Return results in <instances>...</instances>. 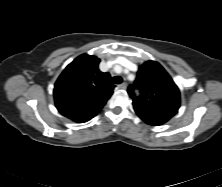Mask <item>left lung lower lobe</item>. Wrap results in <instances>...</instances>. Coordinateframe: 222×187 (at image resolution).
<instances>
[{"label": "left lung lower lobe", "mask_w": 222, "mask_h": 187, "mask_svg": "<svg viewBox=\"0 0 222 187\" xmlns=\"http://www.w3.org/2000/svg\"><path fill=\"white\" fill-rule=\"evenodd\" d=\"M136 114L147 124L158 126L166 123L173 115L150 112L134 107Z\"/></svg>", "instance_id": "1"}]
</instances>
